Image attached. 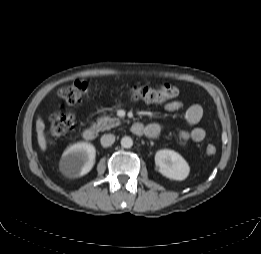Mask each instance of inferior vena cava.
<instances>
[{"mask_svg":"<svg viewBox=\"0 0 261 254\" xmlns=\"http://www.w3.org/2000/svg\"><path fill=\"white\" fill-rule=\"evenodd\" d=\"M100 142L103 147H109L115 142V136L112 134H105L101 137Z\"/></svg>","mask_w":261,"mask_h":254,"instance_id":"inferior-vena-cava-1","label":"inferior vena cava"}]
</instances>
